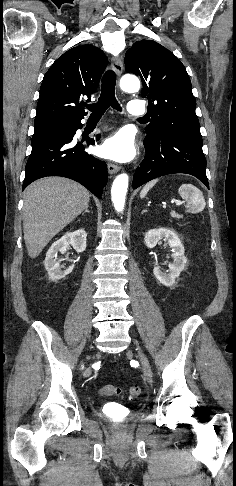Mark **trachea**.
I'll use <instances>...</instances> for the list:
<instances>
[{"label":"trachea","instance_id":"trachea-1","mask_svg":"<svg viewBox=\"0 0 236 486\" xmlns=\"http://www.w3.org/2000/svg\"><path fill=\"white\" fill-rule=\"evenodd\" d=\"M116 74L112 70H107L102 77L101 94L97 103L87 105V109L91 111L90 119L99 120L109 106L122 111L118 101L115 97Z\"/></svg>","mask_w":236,"mask_h":486}]
</instances>
